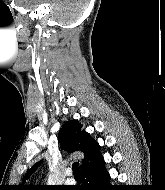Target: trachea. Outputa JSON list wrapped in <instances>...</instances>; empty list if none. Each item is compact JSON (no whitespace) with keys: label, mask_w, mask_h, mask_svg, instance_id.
Returning a JSON list of instances; mask_svg holds the SVG:
<instances>
[{"label":"trachea","mask_w":165,"mask_h":190,"mask_svg":"<svg viewBox=\"0 0 165 190\" xmlns=\"http://www.w3.org/2000/svg\"><path fill=\"white\" fill-rule=\"evenodd\" d=\"M72 170H73L74 177H80L79 163L78 162L73 163Z\"/></svg>","instance_id":"1"}]
</instances>
